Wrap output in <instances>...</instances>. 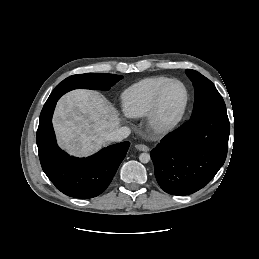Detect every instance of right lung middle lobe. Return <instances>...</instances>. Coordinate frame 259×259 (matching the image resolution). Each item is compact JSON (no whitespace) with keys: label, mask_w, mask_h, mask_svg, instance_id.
Listing matches in <instances>:
<instances>
[{"label":"right lung middle lobe","mask_w":259,"mask_h":259,"mask_svg":"<svg viewBox=\"0 0 259 259\" xmlns=\"http://www.w3.org/2000/svg\"><path fill=\"white\" fill-rule=\"evenodd\" d=\"M123 76L107 74V73H86L80 75H72L62 82L52 91L46 104L53 100H58L66 92L77 89H100L109 90L111 86L115 85Z\"/></svg>","instance_id":"right-lung-middle-lobe-1"}]
</instances>
